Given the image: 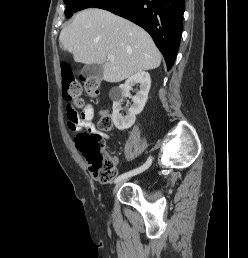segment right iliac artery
Instances as JSON below:
<instances>
[{
    "label": "right iliac artery",
    "instance_id": "1",
    "mask_svg": "<svg viewBox=\"0 0 248 258\" xmlns=\"http://www.w3.org/2000/svg\"><path fill=\"white\" fill-rule=\"evenodd\" d=\"M152 163V157L149 156V158L147 159V161L140 167L133 169L129 172L123 173L121 175H119L116 179H115V183H118L119 181L126 179L128 177H131L133 175H136L138 173L143 172L144 170H146Z\"/></svg>",
    "mask_w": 248,
    "mask_h": 258
}]
</instances>
